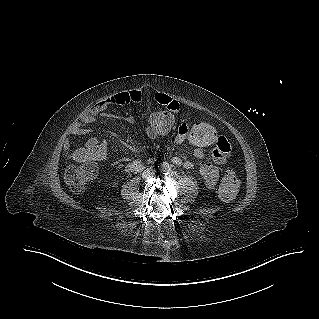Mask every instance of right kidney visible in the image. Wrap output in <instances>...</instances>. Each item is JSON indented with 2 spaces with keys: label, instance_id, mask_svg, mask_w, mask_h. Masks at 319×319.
I'll return each mask as SVG.
<instances>
[{
  "label": "right kidney",
  "instance_id": "ca27d5eb",
  "mask_svg": "<svg viewBox=\"0 0 319 319\" xmlns=\"http://www.w3.org/2000/svg\"><path fill=\"white\" fill-rule=\"evenodd\" d=\"M112 185H113V187H115V186L118 185V182H117V181H114V182H112Z\"/></svg>",
  "mask_w": 319,
  "mask_h": 319
}]
</instances>
